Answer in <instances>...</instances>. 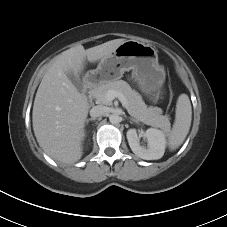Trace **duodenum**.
<instances>
[{"instance_id": "410a0bca", "label": "duodenum", "mask_w": 227, "mask_h": 227, "mask_svg": "<svg viewBox=\"0 0 227 227\" xmlns=\"http://www.w3.org/2000/svg\"><path fill=\"white\" fill-rule=\"evenodd\" d=\"M95 87V82L93 79H86L84 82V91L87 96H90Z\"/></svg>"}]
</instances>
